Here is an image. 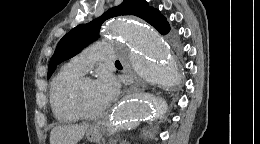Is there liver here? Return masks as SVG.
Segmentation results:
<instances>
[{"label": "liver", "mask_w": 260, "mask_h": 144, "mask_svg": "<svg viewBox=\"0 0 260 144\" xmlns=\"http://www.w3.org/2000/svg\"><path fill=\"white\" fill-rule=\"evenodd\" d=\"M88 125H58L51 130L50 144H77L85 135Z\"/></svg>", "instance_id": "liver-1"}]
</instances>
